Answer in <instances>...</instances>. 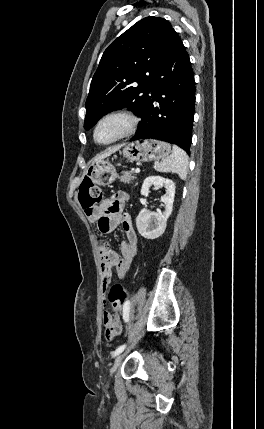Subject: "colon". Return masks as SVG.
<instances>
[{
    "instance_id": "5ec220e1",
    "label": "colon",
    "mask_w": 264,
    "mask_h": 429,
    "mask_svg": "<svg viewBox=\"0 0 264 429\" xmlns=\"http://www.w3.org/2000/svg\"><path fill=\"white\" fill-rule=\"evenodd\" d=\"M103 191L91 180H84L79 188V202L85 212H92L93 209L103 201ZM108 299L112 309L116 313H122L127 299V293L121 284H114L108 292Z\"/></svg>"
}]
</instances>
